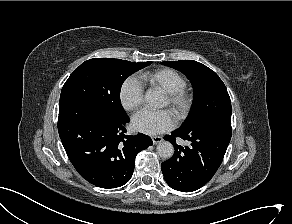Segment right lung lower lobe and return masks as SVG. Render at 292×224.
<instances>
[{"mask_svg": "<svg viewBox=\"0 0 292 224\" xmlns=\"http://www.w3.org/2000/svg\"><path fill=\"white\" fill-rule=\"evenodd\" d=\"M125 115H109L84 101L59 103L58 132L67 156L91 184L111 189L132 177L136 155L152 139L142 133L126 135Z\"/></svg>", "mask_w": 292, "mask_h": 224, "instance_id": "right-lung-lower-lobe-1", "label": "right lung lower lobe"}]
</instances>
